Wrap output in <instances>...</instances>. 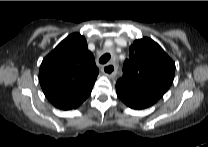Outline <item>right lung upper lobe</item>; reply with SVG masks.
Instances as JSON below:
<instances>
[{
    "mask_svg": "<svg viewBox=\"0 0 208 147\" xmlns=\"http://www.w3.org/2000/svg\"><path fill=\"white\" fill-rule=\"evenodd\" d=\"M99 73L84 36L66 37L42 61L39 81L48 100L57 108H77L89 96Z\"/></svg>",
    "mask_w": 208,
    "mask_h": 147,
    "instance_id": "right-lung-upper-lobe-1",
    "label": "right lung upper lobe"
}]
</instances>
